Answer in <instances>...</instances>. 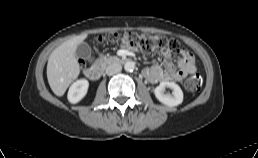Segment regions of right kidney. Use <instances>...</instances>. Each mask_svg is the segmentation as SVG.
Listing matches in <instances>:
<instances>
[{"label": "right kidney", "mask_w": 258, "mask_h": 158, "mask_svg": "<svg viewBox=\"0 0 258 158\" xmlns=\"http://www.w3.org/2000/svg\"><path fill=\"white\" fill-rule=\"evenodd\" d=\"M89 82L86 79H80L74 82L68 91V100L70 103H78L82 100L88 91Z\"/></svg>", "instance_id": "right-kidney-1"}]
</instances>
